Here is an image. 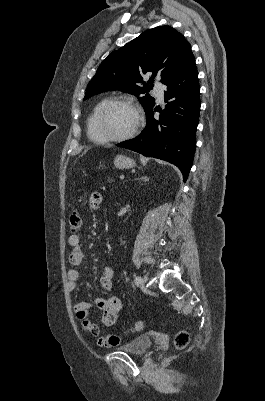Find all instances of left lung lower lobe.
<instances>
[{"label": "left lung lower lobe", "instance_id": "left-lung-lower-lobe-1", "mask_svg": "<svg viewBox=\"0 0 265 401\" xmlns=\"http://www.w3.org/2000/svg\"><path fill=\"white\" fill-rule=\"evenodd\" d=\"M166 86L165 109L147 111L142 133L117 146L175 164L186 181L193 163L200 112V86L193 55ZM153 110L160 113L158 120Z\"/></svg>", "mask_w": 265, "mask_h": 401}]
</instances>
